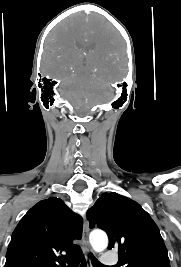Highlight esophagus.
<instances>
[{"label": "esophagus", "mask_w": 181, "mask_h": 267, "mask_svg": "<svg viewBox=\"0 0 181 267\" xmlns=\"http://www.w3.org/2000/svg\"><path fill=\"white\" fill-rule=\"evenodd\" d=\"M88 235H89V222L85 218V221L83 224V237L82 238H83V246H84V251L86 255L87 265L88 267H91V259H90L91 248H90L89 241H88Z\"/></svg>", "instance_id": "34e87169"}]
</instances>
